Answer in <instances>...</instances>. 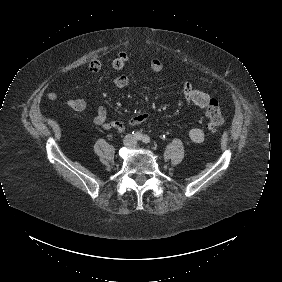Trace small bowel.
I'll use <instances>...</instances> for the list:
<instances>
[{"label":"small bowel","instance_id":"small-bowel-1","mask_svg":"<svg viewBox=\"0 0 282 282\" xmlns=\"http://www.w3.org/2000/svg\"><path fill=\"white\" fill-rule=\"evenodd\" d=\"M129 61V55L126 51H121L117 57L112 61V68L116 71L122 70ZM102 63L99 59H92L88 65V69L92 73H97L101 70ZM150 68L154 72H161L163 70V63L159 59H153L150 61ZM129 77L125 74L118 76L113 84L116 87L122 88L129 84ZM182 93L187 105L194 104L200 108H205L210 102V96L198 89H196L192 83L188 80H184L181 83ZM47 97L50 100L57 98V93L54 90H50L47 93ZM67 106L74 111L81 112L87 107V103L81 98H71L66 102ZM149 119L148 112H140L131 116L126 121H110L108 120V110L103 104H99L96 107V113L93 117V123L106 130H114L117 132H123L127 127L136 126L146 122ZM188 136L194 143H201L205 139L204 131L200 128H191L188 132Z\"/></svg>","mask_w":282,"mask_h":282}]
</instances>
